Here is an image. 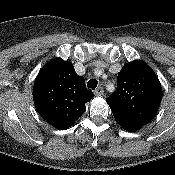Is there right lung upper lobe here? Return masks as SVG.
Returning a JSON list of instances; mask_svg holds the SVG:
<instances>
[{
  "label": "right lung upper lobe",
  "mask_w": 175,
  "mask_h": 175,
  "mask_svg": "<svg viewBox=\"0 0 175 175\" xmlns=\"http://www.w3.org/2000/svg\"><path fill=\"white\" fill-rule=\"evenodd\" d=\"M94 97L69 61L55 58L38 73L33 87L35 107L41 117L57 129L69 128Z\"/></svg>",
  "instance_id": "right-lung-upper-lobe-1"
}]
</instances>
